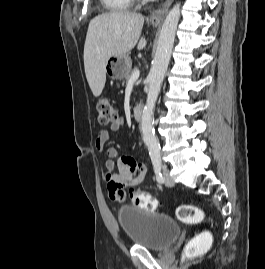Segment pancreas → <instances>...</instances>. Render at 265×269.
<instances>
[{
    "label": "pancreas",
    "mask_w": 265,
    "mask_h": 269,
    "mask_svg": "<svg viewBox=\"0 0 265 269\" xmlns=\"http://www.w3.org/2000/svg\"><path fill=\"white\" fill-rule=\"evenodd\" d=\"M136 71V69L130 71V73L125 77L126 83L129 81V79L131 78V75Z\"/></svg>",
    "instance_id": "1"
}]
</instances>
